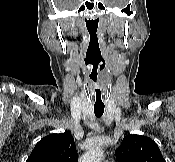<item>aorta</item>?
<instances>
[{"mask_svg":"<svg viewBox=\"0 0 175 162\" xmlns=\"http://www.w3.org/2000/svg\"><path fill=\"white\" fill-rule=\"evenodd\" d=\"M103 149L96 147L85 153L79 160V162H101L103 158Z\"/></svg>","mask_w":175,"mask_h":162,"instance_id":"762f6f07","label":"aorta"}]
</instances>
